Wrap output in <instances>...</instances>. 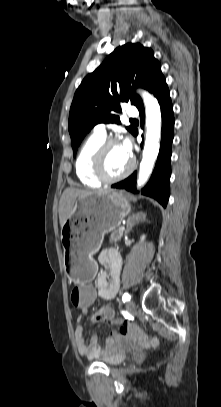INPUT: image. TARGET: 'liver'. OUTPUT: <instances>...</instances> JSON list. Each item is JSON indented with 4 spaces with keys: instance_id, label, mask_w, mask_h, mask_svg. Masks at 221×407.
Masks as SVG:
<instances>
[{
    "instance_id": "6515ba94",
    "label": "liver",
    "mask_w": 221,
    "mask_h": 407,
    "mask_svg": "<svg viewBox=\"0 0 221 407\" xmlns=\"http://www.w3.org/2000/svg\"><path fill=\"white\" fill-rule=\"evenodd\" d=\"M96 192L99 191L79 190L76 188H67L63 192L59 203V221L61 228L68 219V217L71 215L76 199L82 196L94 194Z\"/></svg>"
}]
</instances>
